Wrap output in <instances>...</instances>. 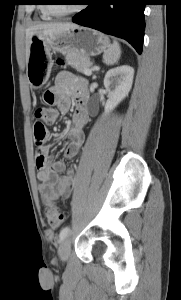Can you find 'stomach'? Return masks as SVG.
Wrapping results in <instances>:
<instances>
[{"label": "stomach", "instance_id": "obj_1", "mask_svg": "<svg viewBox=\"0 0 181 300\" xmlns=\"http://www.w3.org/2000/svg\"><path fill=\"white\" fill-rule=\"evenodd\" d=\"M109 38L96 30L77 26L54 37L33 35L27 61V76L33 87L45 84L50 75L51 56L54 52H77L88 58L105 52Z\"/></svg>", "mask_w": 181, "mask_h": 300}]
</instances>
